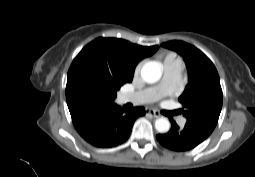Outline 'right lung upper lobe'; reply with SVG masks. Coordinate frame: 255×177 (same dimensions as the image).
I'll return each mask as SVG.
<instances>
[{"label": "right lung upper lobe", "instance_id": "right-lung-upper-lobe-1", "mask_svg": "<svg viewBox=\"0 0 255 177\" xmlns=\"http://www.w3.org/2000/svg\"><path fill=\"white\" fill-rule=\"evenodd\" d=\"M157 49V45L145 47L122 39L103 37L92 41L83 48V50H90L99 54L111 63L119 64L123 74L130 79H133L136 64L143 58L154 54ZM66 99L69 110L86 102L94 103L81 91L73 88L68 83L66 86Z\"/></svg>", "mask_w": 255, "mask_h": 177}]
</instances>
